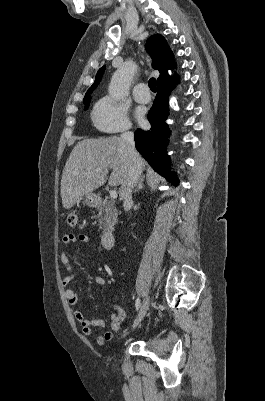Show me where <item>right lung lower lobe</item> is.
I'll return each mask as SVG.
<instances>
[{"mask_svg": "<svg viewBox=\"0 0 265 401\" xmlns=\"http://www.w3.org/2000/svg\"><path fill=\"white\" fill-rule=\"evenodd\" d=\"M172 87H160L153 106L148 113L151 130L135 131L136 149L159 174L178 183L175 173L170 172L169 158L166 154V145L169 137V128L165 124L168 117V97Z\"/></svg>", "mask_w": 265, "mask_h": 401, "instance_id": "1", "label": "right lung lower lobe"}]
</instances>
